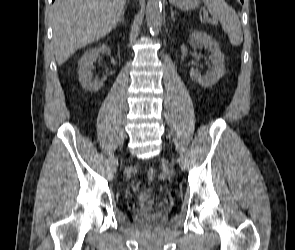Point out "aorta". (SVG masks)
I'll use <instances>...</instances> for the list:
<instances>
[{
  "instance_id": "aorta-1",
  "label": "aorta",
  "mask_w": 295,
  "mask_h": 250,
  "mask_svg": "<svg viewBox=\"0 0 295 250\" xmlns=\"http://www.w3.org/2000/svg\"><path fill=\"white\" fill-rule=\"evenodd\" d=\"M147 26L152 35H158L162 26L161 0H148L146 6Z\"/></svg>"
}]
</instances>
